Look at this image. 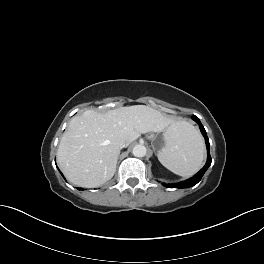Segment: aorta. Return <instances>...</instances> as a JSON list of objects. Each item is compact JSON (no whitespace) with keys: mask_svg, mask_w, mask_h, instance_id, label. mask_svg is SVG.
I'll return each instance as SVG.
<instances>
[{"mask_svg":"<svg viewBox=\"0 0 264 264\" xmlns=\"http://www.w3.org/2000/svg\"><path fill=\"white\" fill-rule=\"evenodd\" d=\"M147 153V149L144 145L138 144L133 147L132 154L135 157H144Z\"/></svg>","mask_w":264,"mask_h":264,"instance_id":"762f6f07","label":"aorta"}]
</instances>
